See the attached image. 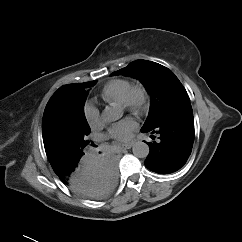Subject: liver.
I'll list each match as a JSON object with an SVG mask.
<instances>
[{
    "mask_svg": "<svg viewBox=\"0 0 242 242\" xmlns=\"http://www.w3.org/2000/svg\"><path fill=\"white\" fill-rule=\"evenodd\" d=\"M100 188H101V184H99V183L97 182L96 179H93V180L89 183V190H90V191H97V190H99ZM75 191H77V190H75Z\"/></svg>",
    "mask_w": 242,
    "mask_h": 242,
    "instance_id": "liver-1",
    "label": "liver"
}]
</instances>
